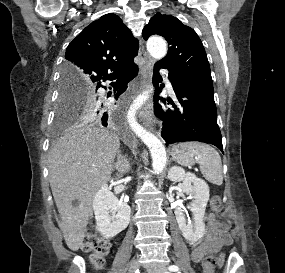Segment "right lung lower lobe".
I'll use <instances>...</instances> for the list:
<instances>
[{"label": "right lung lower lobe", "mask_w": 285, "mask_h": 273, "mask_svg": "<svg viewBox=\"0 0 285 273\" xmlns=\"http://www.w3.org/2000/svg\"><path fill=\"white\" fill-rule=\"evenodd\" d=\"M138 74V66L136 64H131L117 72L111 73L106 77H103L102 79L95 82V87L98 89L99 87H102L101 82L105 81H114L113 87L114 92H117L116 98L120 94H122L125 89L127 88V84L129 81H131L134 77H136ZM112 113L109 110H106L105 108L102 109L99 121L102 123L103 126H107L111 122Z\"/></svg>", "instance_id": "right-lung-lower-lobe-1"}]
</instances>
